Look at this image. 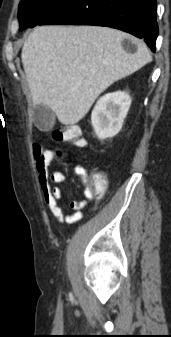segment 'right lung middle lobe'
Masks as SVG:
<instances>
[{
	"mask_svg": "<svg viewBox=\"0 0 171 337\" xmlns=\"http://www.w3.org/2000/svg\"><path fill=\"white\" fill-rule=\"evenodd\" d=\"M67 0H22L18 16L20 30L32 28L57 11Z\"/></svg>",
	"mask_w": 171,
	"mask_h": 337,
	"instance_id": "dd1d6c3e",
	"label": "right lung middle lobe"
}]
</instances>
